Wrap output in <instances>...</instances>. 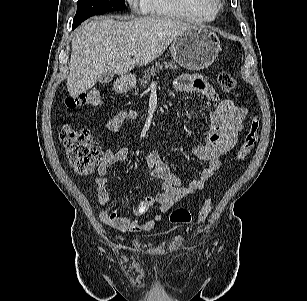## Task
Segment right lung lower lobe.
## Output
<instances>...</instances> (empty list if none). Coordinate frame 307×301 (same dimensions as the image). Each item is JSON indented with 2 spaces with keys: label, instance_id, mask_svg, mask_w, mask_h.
<instances>
[{
  "label": "right lung lower lobe",
  "instance_id": "obj_1",
  "mask_svg": "<svg viewBox=\"0 0 307 301\" xmlns=\"http://www.w3.org/2000/svg\"><path fill=\"white\" fill-rule=\"evenodd\" d=\"M76 27H77V25H73L72 29H74V28H76Z\"/></svg>",
  "mask_w": 307,
  "mask_h": 301
}]
</instances>
